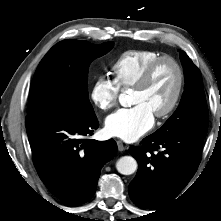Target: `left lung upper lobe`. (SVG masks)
Returning a JSON list of instances; mask_svg holds the SVG:
<instances>
[{
	"label": "left lung upper lobe",
	"instance_id": "5c2ea615",
	"mask_svg": "<svg viewBox=\"0 0 221 221\" xmlns=\"http://www.w3.org/2000/svg\"><path fill=\"white\" fill-rule=\"evenodd\" d=\"M180 57L186 76L185 91L175 113L153 134L194 133L206 136L208 108L201 73L185 52L180 51Z\"/></svg>",
	"mask_w": 221,
	"mask_h": 221
}]
</instances>
